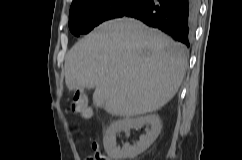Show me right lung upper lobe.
Masks as SVG:
<instances>
[{
  "label": "right lung upper lobe",
  "mask_w": 242,
  "mask_h": 160,
  "mask_svg": "<svg viewBox=\"0 0 242 160\" xmlns=\"http://www.w3.org/2000/svg\"><path fill=\"white\" fill-rule=\"evenodd\" d=\"M80 1H83V0H73L72 5H75V4H77L78 2H80ZM72 5H71V6H72Z\"/></svg>",
  "instance_id": "right-lung-upper-lobe-1"
}]
</instances>
